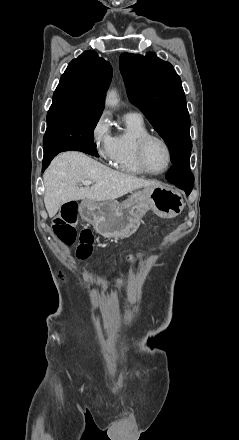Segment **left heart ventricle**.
Wrapping results in <instances>:
<instances>
[{
    "instance_id": "1",
    "label": "left heart ventricle",
    "mask_w": 239,
    "mask_h": 440,
    "mask_svg": "<svg viewBox=\"0 0 239 440\" xmlns=\"http://www.w3.org/2000/svg\"><path fill=\"white\" fill-rule=\"evenodd\" d=\"M146 161L154 172L163 171L168 164V154L165 146L157 140H152L146 147Z\"/></svg>"
}]
</instances>
